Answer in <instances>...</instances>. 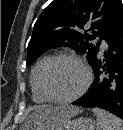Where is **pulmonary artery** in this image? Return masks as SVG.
Listing matches in <instances>:
<instances>
[{
	"mask_svg": "<svg viewBox=\"0 0 123 130\" xmlns=\"http://www.w3.org/2000/svg\"><path fill=\"white\" fill-rule=\"evenodd\" d=\"M106 49H107V44H106L105 41H102V42H101V50H102V51H105Z\"/></svg>",
	"mask_w": 123,
	"mask_h": 130,
	"instance_id": "pulmonary-artery-1",
	"label": "pulmonary artery"
}]
</instances>
